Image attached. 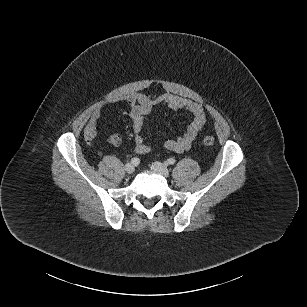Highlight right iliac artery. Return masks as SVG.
<instances>
[{"label": "right iliac artery", "instance_id": "obj_1", "mask_svg": "<svg viewBox=\"0 0 307 307\" xmlns=\"http://www.w3.org/2000/svg\"><path fill=\"white\" fill-rule=\"evenodd\" d=\"M131 163H132L133 165H138V164L140 163V160H139V158L134 157V158L131 159Z\"/></svg>", "mask_w": 307, "mask_h": 307}]
</instances>
